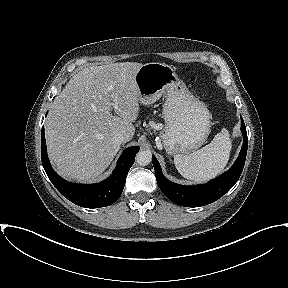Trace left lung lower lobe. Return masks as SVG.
Returning <instances> with one entry per match:
<instances>
[{"instance_id":"obj_1","label":"left lung lower lobe","mask_w":288,"mask_h":288,"mask_svg":"<svg viewBox=\"0 0 288 288\" xmlns=\"http://www.w3.org/2000/svg\"><path fill=\"white\" fill-rule=\"evenodd\" d=\"M241 130L243 133V145L240 154L233 166L221 176L204 185L184 186L167 180L156 157L152 162L155 176L160 190L174 203L185 207H200L208 205L226 194L238 181L246 160L248 138L245 123L241 117Z\"/></svg>"}]
</instances>
